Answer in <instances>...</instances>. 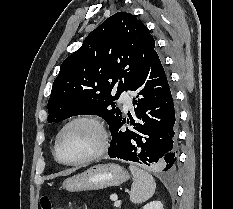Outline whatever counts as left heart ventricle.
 <instances>
[{
  "label": "left heart ventricle",
  "mask_w": 233,
  "mask_h": 209,
  "mask_svg": "<svg viewBox=\"0 0 233 209\" xmlns=\"http://www.w3.org/2000/svg\"><path fill=\"white\" fill-rule=\"evenodd\" d=\"M98 130L90 123L70 126L62 135L59 154L66 161H75L93 153L99 145Z\"/></svg>",
  "instance_id": "obj_1"
}]
</instances>
